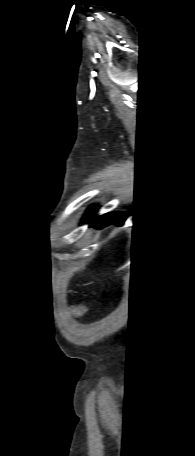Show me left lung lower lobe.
Returning a JSON list of instances; mask_svg holds the SVG:
<instances>
[{"instance_id": "obj_1", "label": "left lung lower lobe", "mask_w": 195, "mask_h": 456, "mask_svg": "<svg viewBox=\"0 0 195 456\" xmlns=\"http://www.w3.org/2000/svg\"><path fill=\"white\" fill-rule=\"evenodd\" d=\"M96 207L92 206L86 213V221L90 223V226L102 228L109 224H121L124 222L125 217L119 213H108L103 216L94 218Z\"/></svg>"}]
</instances>
